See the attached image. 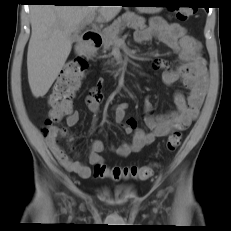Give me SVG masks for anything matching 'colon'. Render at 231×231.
Instances as JSON below:
<instances>
[{
    "mask_svg": "<svg viewBox=\"0 0 231 231\" xmlns=\"http://www.w3.org/2000/svg\"><path fill=\"white\" fill-rule=\"evenodd\" d=\"M190 9H179L176 11V18L185 21L191 14ZM88 64L84 57H76L66 63L57 77L48 98L50 107L49 118L44 128V135L48 136L53 128L56 134L64 135L65 130L54 126V122L60 121L68 115L72 109V100L85 76ZM181 133L173 131L167 138L166 147L169 151L176 150L181 144ZM153 173L151 166H114L108 167L103 163L94 166V174L98 178H110L114 181L122 179L146 180Z\"/></svg>",
    "mask_w": 231,
    "mask_h": 231,
    "instance_id": "1",
    "label": "colon"
}]
</instances>
